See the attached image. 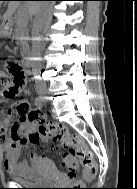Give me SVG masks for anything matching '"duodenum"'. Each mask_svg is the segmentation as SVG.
<instances>
[{
  "instance_id": "obj_1",
  "label": "duodenum",
  "mask_w": 137,
  "mask_h": 189,
  "mask_svg": "<svg viewBox=\"0 0 137 189\" xmlns=\"http://www.w3.org/2000/svg\"><path fill=\"white\" fill-rule=\"evenodd\" d=\"M13 25H14V20L11 19V18L6 19L4 21V28H5V31H6L7 34H11L12 33Z\"/></svg>"
}]
</instances>
